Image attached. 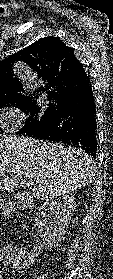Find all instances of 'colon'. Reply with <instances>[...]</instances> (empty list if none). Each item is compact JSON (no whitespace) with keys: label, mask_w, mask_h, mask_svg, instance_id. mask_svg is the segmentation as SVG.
Listing matches in <instances>:
<instances>
[{"label":"colon","mask_w":113,"mask_h":279,"mask_svg":"<svg viewBox=\"0 0 113 279\" xmlns=\"http://www.w3.org/2000/svg\"><path fill=\"white\" fill-rule=\"evenodd\" d=\"M15 257L19 258L22 260L23 256L22 253L14 250V249H9V248H3L1 249L0 246V266L1 264L6 265L10 263Z\"/></svg>","instance_id":"obj_1"}]
</instances>
